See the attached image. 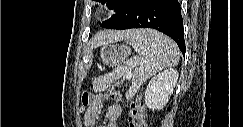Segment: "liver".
I'll return each mask as SVG.
<instances>
[{
	"label": "liver",
	"mask_w": 243,
	"mask_h": 127,
	"mask_svg": "<svg viewBox=\"0 0 243 127\" xmlns=\"http://www.w3.org/2000/svg\"><path fill=\"white\" fill-rule=\"evenodd\" d=\"M134 31H109L100 32L96 34L91 40V47L107 44L108 42H115L125 39L130 36Z\"/></svg>",
	"instance_id": "obj_1"
}]
</instances>
